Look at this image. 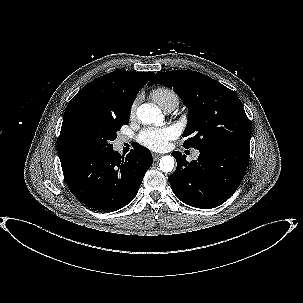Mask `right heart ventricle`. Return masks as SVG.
<instances>
[{
	"label": "right heart ventricle",
	"instance_id": "right-heart-ventricle-1",
	"mask_svg": "<svg viewBox=\"0 0 303 303\" xmlns=\"http://www.w3.org/2000/svg\"><path fill=\"white\" fill-rule=\"evenodd\" d=\"M152 99L163 109H175L179 105V96L172 89L161 87L151 92Z\"/></svg>",
	"mask_w": 303,
	"mask_h": 303
}]
</instances>
